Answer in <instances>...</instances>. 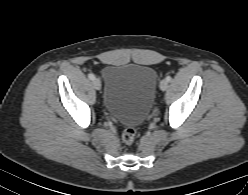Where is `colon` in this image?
<instances>
[{"mask_svg": "<svg viewBox=\"0 0 248 195\" xmlns=\"http://www.w3.org/2000/svg\"><path fill=\"white\" fill-rule=\"evenodd\" d=\"M136 138V129L132 126L127 127L122 134V141L126 146H131Z\"/></svg>", "mask_w": 248, "mask_h": 195, "instance_id": "colon-1", "label": "colon"}]
</instances>
